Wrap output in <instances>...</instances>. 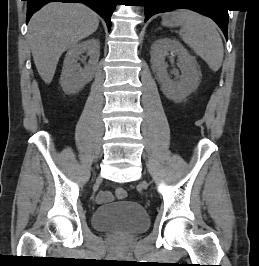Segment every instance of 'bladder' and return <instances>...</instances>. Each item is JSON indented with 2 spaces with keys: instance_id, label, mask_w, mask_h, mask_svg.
I'll return each instance as SVG.
<instances>
[{
  "instance_id": "obj_1",
  "label": "bladder",
  "mask_w": 259,
  "mask_h": 266,
  "mask_svg": "<svg viewBox=\"0 0 259 266\" xmlns=\"http://www.w3.org/2000/svg\"><path fill=\"white\" fill-rule=\"evenodd\" d=\"M95 228L102 231L140 233L150 223L144 207L135 201H122L98 207L92 217Z\"/></svg>"
}]
</instances>
